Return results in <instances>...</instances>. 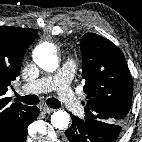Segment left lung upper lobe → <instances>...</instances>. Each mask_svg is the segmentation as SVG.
<instances>
[{
	"mask_svg": "<svg viewBox=\"0 0 142 142\" xmlns=\"http://www.w3.org/2000/svg\"><path fill=\"white\" fill-rule=\"evenodd\" d=\"M85 120L122 125L132 103V78L121 50L110 40L87 33L81 40Z\"/></svg>",
	"mask_w": 142,
	"mask_h": 142,
	"instance_id": "left-lung-upper-lobe-1",
	"label": "left lung upper lobe"
}]
</instances>
